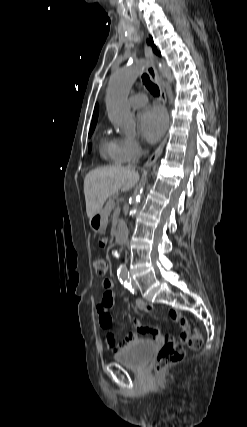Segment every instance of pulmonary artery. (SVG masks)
Segmentation results:
<instances>
[{
    "label": "pulmonary artery",
    "instance_id": "1",
    "mask_svg": "<svg viewBox=\"0 0 247 427\" xmlns=\"http://www.w3.org/2000/svg\"><path fill=\"white\" fill-rule=\"evenodd\" d=\"M148 99L144 94H135L129 98V105L133 108H139L147 103Z\"/></svg>",
    "mask_w": 247,
    "mask_h": 427
}]
</instances>
